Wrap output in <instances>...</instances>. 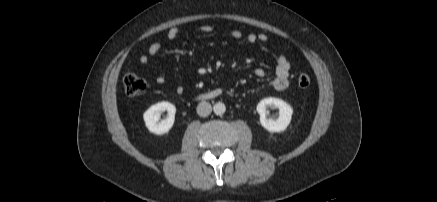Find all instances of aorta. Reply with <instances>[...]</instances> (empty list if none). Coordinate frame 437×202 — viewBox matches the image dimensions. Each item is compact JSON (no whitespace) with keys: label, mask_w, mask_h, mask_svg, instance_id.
I'll use <instances>...</instances> for the list:
<instances>
[{"label":"aorta","mask_w":437,"mask_h":202,"mask_svg":"<svg viewBox=\"0 0 437 202\" xmlns=\"http://www.w3.org/2000/svg\"><path fill=\"white\" fill-rule=\"evenodd\" d=\"M213 111L216 115H222L225 113L226 111V106L224 103L222 102H217L214 106H213Z\"/></svg>","instance_id":"aorta-1"}]
</instances>
